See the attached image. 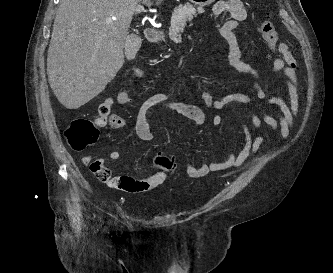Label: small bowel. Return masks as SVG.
<instances>
[{"mask_svg":"<svg viewBox=\"0 0 333 273\" xmlns=\"http://www.w3.org/2000/svg\"><path fill=\"white\" fill-rule=\"evenodd\" d=\"M214 12L217 15L230 13L231 20L224 22L219 28V34L228 46V61L234 70L240 75L253 79L250 84L259 100H268V103L277 108L275 116L268 113L261 115L252 112L250 122L252 126L261 131L263 126H267L270 131L279 133L283 139H287L294 127L295 118L299 112V82H298V66L297 62L285 43H277V46L271 51L277 54L271 65L272 73H282L285 76L284 85L289 95V102L280 97L268 98L266 91L262 87V74L254 66L244 61L241 56L240 47L235 32L239 28L240 22L246 19V10L239 0H221L215 7ZM145 72L141 67H135L133 76L144 77ZM247 85V81L241 78H233L222 84L216 92L200 91L197 96L204 105L214 111L223 109L230 103L250 104L251 98L242 93H229L224 96L218 94L232 86ZM119 104H127L131 97L128 90L122 89L116 95V98L109 97L106 100H100L96 112V122L100 127L109 125L111 128L119 129L126 126V121L117 116L116 111H111L114 101ZM166 109L174 111L185 118L193 121L195 124H202L205 121V114L196 105L177 101L171 93L161 92L148 97L140 106L137 115L135 129L137 136L143 141L153 139V132L148 121V113L150 110ZM211 122L215 126H219L224 122V118L219 113L211 116ZM240 128L245 138V143L240 151L235 148L231 149L224 161L202 162L199 166H194L189 161L184 162L186 174L192 179H200L207 176L211 172L226 171L229 169H237L243 165L246 159L252 154L257 155L261 145L264 142V136L258 135L253 138L245 120L240 121ZM158 154L156 158L162 157ZM109 158L113 161L120 159L118 151H111ZM155 158V159H156ZM94 158L92 155H84L81 159L84 165H90ZM171 160V159H170ZM173 163V162H172ZM159 169L151 176L146 178H134L131 176H116L111 187L130 193H142L154 189L162 185L169 171L158 167Z\"/></svg>","mask_w":333,"mask_h":273,"instance_id":"1","label":"small bowel"}]
</instances>
